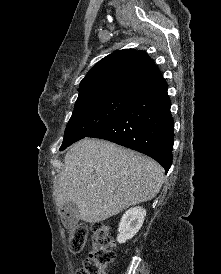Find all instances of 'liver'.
Returning <instances> with one entry per match:
<instances>
[{
    "label": "liver",
    "mask_w": 221,
    "mask_h": 274,
    "mask_svg": "<svg viewBox=\"0 0 221 274\" xmlns=\"http://www.w3.org/2000/svg\"><path fill=\"white\" fill-rule=\"evenodd\" d=\"M164 180L153 159L114 143L85 138L66 153L54 195L58 208L75 203L79 218L103 221L153 199Z\"/></svg>",
    "instance_id": "1"
}]
</instances>
